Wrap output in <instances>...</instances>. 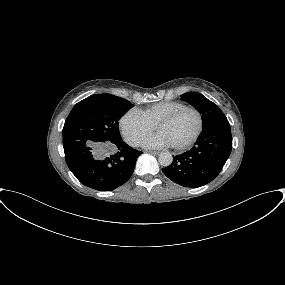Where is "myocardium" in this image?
I'll return each mask as SVG.
<instances>
[{"label":"myocardium","mask_w":285,"mask_h":285,"mask_svg":"<svg viewBox=\"0 0 285 285\" xmlns=\"http://www.w3.org/2000/svg\"><path fill=\"white\" fill-rule=\"evenodd\" d=\"M186 110H191V111L195 112V114L197 115V118H198V127H197L195 133L187 141H185L183 144H181L179 146H172L173 149L178 150V151L186 149V148L190 147L191 145H193L197 141L199 136L201 135V133L203 131V127H204V119H203V115L200 112V110L197 109L196 107H193V106H183V107L176 109L175 111L171 112L167 116L163 117L155 125V130H158V128L160 126L172 122L180 113H182L183 111H186Z\"/></svg>","instance_id":"f54148a6"}]
</instances>
